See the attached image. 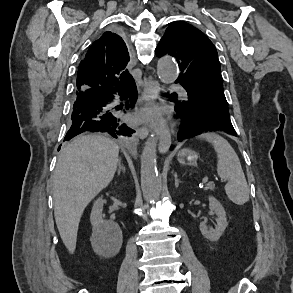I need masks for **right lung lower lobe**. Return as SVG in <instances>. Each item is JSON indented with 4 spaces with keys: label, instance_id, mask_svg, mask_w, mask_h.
<instances>
[{
    "label": "right lung lower lobe",
    "instance_id": "obj_1",
    "mask_svg": "<svg viewBox=\"0 0 293 293\" xmlns=\"http://www.w3.org/2000/svg\"><path fill=\"white\" fill-rule=\"evenodd\" d=\"M117 94L124 100L130 98L133 106L137 99L134 80L120 88L98 87L76 91L71 115L72 125L64 140L68 141L85 131L105 132L114 138L131 136L133 130L122 123L118 109L114 110L109 106Z\"/></svg>",
    "mask_w": 293,
    "mask_h": 293
}]
</instances>
